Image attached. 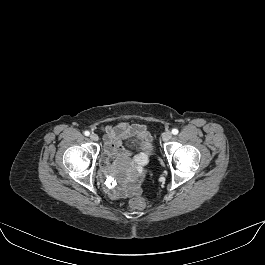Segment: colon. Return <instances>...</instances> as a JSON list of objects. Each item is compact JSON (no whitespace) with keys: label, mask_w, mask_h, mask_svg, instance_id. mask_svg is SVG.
I'll return each mask as SVG.
<instances>
[{"label":"colon","mask_w":265,"mask_h":265,"mask_svg":"<svg viewBox=\"0 0 265 265\" xmlns=\"http://www.w3.org/2000/svg\"><path fill=\"white\" fill-rule=\"evenodd\" d=\"M146 199L143 197H135L130 201V207L134 210H142L146 207Z\"/></svg>","instance_id":"5ec220e1"}]
</instances>
